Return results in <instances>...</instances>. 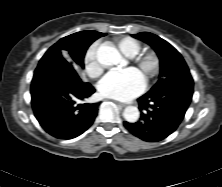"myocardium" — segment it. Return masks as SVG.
<instances>
[{
    "instance_id": "obj_1",
    "label": "myocardium",
    "mask_w": 222,
    "mask_h": 187,
    "mask_svg": "<svg viewBox=\"0 0 222 187\" xmlns=\"http://www.w3.org/2000/svg\"><path fill=\"white\" fill-rule=\"evenodd\" d=\"M132 63L137 67H142L147 61H150L151 68L146 75L147 82L155 80L161 70V59L154 51H141L131 58Z\"/></svg>"
}]
</instances>
